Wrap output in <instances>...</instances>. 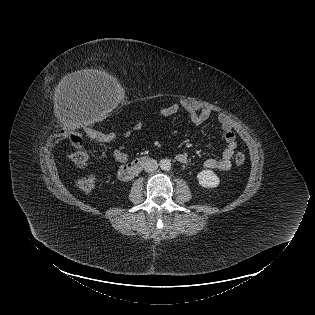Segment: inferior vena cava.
<instances>
[{"label":"inferior vena cava","instance_id":"1","mask_svg":"<svg viewBox=\"0 0 315 315\" xmlns=\"http://www.w3.org/2000/svg\"><path fill=\"white\" fill-rule=\"evenodd\" d=\"M157 168H158V163L154 159H148L144 163V170L146 172H154L157 170Z\"/></svg>","mask_w":315,"mask_h":315}]
</instances>
